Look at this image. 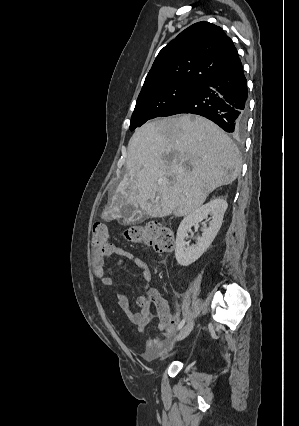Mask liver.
<instances>
[{
  "instance_id": "6515ba94",
  "label": "liver",
  "mask_w": 299,
  "mask_h": 426,
  "mask_svg": "<svg viewBox=\"0 0 299 426\" xmlns=\"http://www.w3.org/2000/svg\"><path fill=\"white\" fill-rule=\"evenodd\" d=\"M240 171L238 148L212 121L184 114L148 122L129 141L126 173L102 218H121L129 204L149 218L186 216Z\"/></svg>"
}]
</instances>
